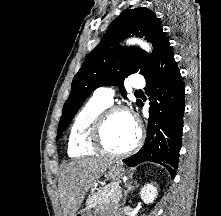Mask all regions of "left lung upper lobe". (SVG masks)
<instances>
[{
    "mask_svg": "<svg viewBox=\"0 0 221 216\" xmlns=\"http://www.w3.org/2000/svg\"><path fill=\"white\" fill-rule=\"evenodd\" d=\"M131 34L145 37L151 42L154 46L153 55L135 46L121 47L119 42ZM168 41L159 18L150 9H128L116 18L73 79L71 93L64 104L59 122L57 140L95 89L118 85L121 86L120 92L125 96L126 90L122 87L124 79L133 73L145 75L158 57L163 44ZM140 103L137 100L136 104Z\"/></svg>",
    "mask_w": 221,
    "mask_h": 216,
    "instance_id": "1",
    "label": "left lung upper lobe"
}]
</instances>
